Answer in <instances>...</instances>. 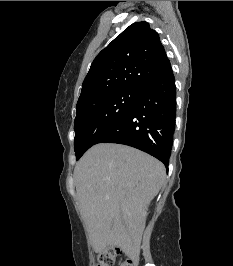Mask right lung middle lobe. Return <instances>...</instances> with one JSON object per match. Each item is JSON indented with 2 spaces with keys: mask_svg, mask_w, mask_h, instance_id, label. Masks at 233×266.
Instances as JSON below:
<instances>
[{
  "mask_svg": "<svg viewBox=\"0 0 233 266\" xmlns=\"http://www.w3.org/2000/svg\"><path fill=\"white\" fill-rule=\"evenodd\" d=\"M142 90L119 89L92 96L76 106L74 149L78 160L84 152L132 107Z\"/></svg>",
  "mask_w": 233,
  "mask_h": 266,
  "instance_id": "dd1d6c3e",
  "label": "right lung middle lobe"
}]
</instances>
